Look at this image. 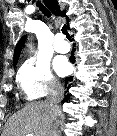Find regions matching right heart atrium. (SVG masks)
I'll use <instances>...</instances> for the list:
<instances>
[{"mask_svg": "<svg viewBox=\"0 0 117 136\" xmlns=\"http://www.w3.org/2000/svg\"><path fill=\"white\" fill-rule=\"evenodd\" d=\"M17 82L26 100L58 96L62 86L53 75L50 65L42 60H29L18 71Z\"/></svg>", "mask_w": 117, "mask_h": 136, "instance_id": "d8ad5b80", "label": "right heart atrium"}]
</instances>
